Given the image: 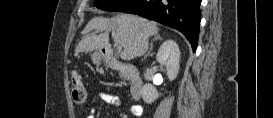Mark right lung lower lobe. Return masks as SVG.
Wrapping results in <instances>:
<instances>
[{
    "mask_svg": "<svg viewBox=\"0 0 273 118\" xmlns=\"http://www.w3.org/2000/svg\"><path fill=\"white\" fill-rule=\"evenodd\" d=\"M201 0H132L119 11L136 14L179 30L196 51Z\"/></svg>",
    "mask_w": 273,
    "mask_h": 118,
    "instance_id": "98d812e1",
    "label": "right lung lower lobe"
}]
</instances>
